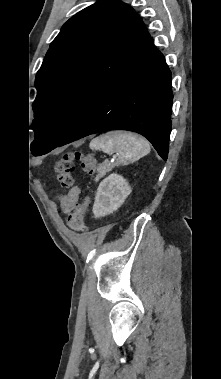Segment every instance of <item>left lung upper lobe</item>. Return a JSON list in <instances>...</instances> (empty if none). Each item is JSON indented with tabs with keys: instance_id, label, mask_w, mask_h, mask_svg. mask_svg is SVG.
Wrapping results in <instances>:
<instances>
[{
	"instance_id": "obj_1",
	"label": "left lung upper lobe",
	"mask_w": 221,
	"mask_h": 379,
	"mask_svg": "<svg viewBox=\"0 0 221 379\" xmlns=\"http://www.w3.org/2000/svg\"><path fill=\"white\" fill-rule=\"evenodd\" d=\"M149 39L136 12L117 0H100L71 17L37 72L32 154L54 149Z\"/></svg>"
}]
</instances>
